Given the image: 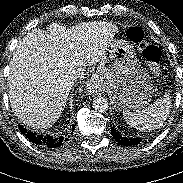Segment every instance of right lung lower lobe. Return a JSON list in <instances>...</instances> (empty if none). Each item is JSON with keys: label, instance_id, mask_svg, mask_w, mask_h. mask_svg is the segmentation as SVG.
<instances>
[{"label": "right lung lower lobe", "instance_id": "1", "mask_svg": "<svg viewBox=\"0 0 183 183\" xmlns=\"http://www.w3.org/2000/svg\"><path fill=\"white\" fill-rule=\"evenodd\" d=\"M75 125H73L74 129ZM21 133L31 142L36 145L46 148H57L63 146L67 141L68 137H53L49 135H42L36 132L30 131L23 126H19Z\"/></svg>", "mask_w": 183, "mask_h": 183}]
</instances>
